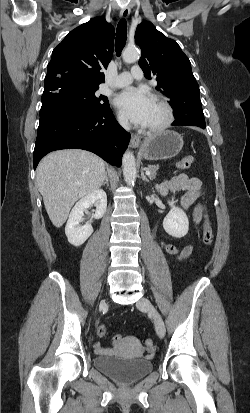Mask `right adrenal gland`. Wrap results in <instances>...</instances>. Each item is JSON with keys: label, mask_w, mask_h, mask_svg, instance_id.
<instances>
[{"label": "right adrenal gland", "mask_w": 250, "mask_h": 413, "mask_svg": "<svg viewBox=\"0 0 250 413\" xmlns=\"http://www.w3.org/2000/svg\"><path fill=\"white\" fill-rule=\"evenodd\" d=\"M103 186H107V187H109V182H108V175H107V173H106V175H105V182L102 184Z\"/></svg>", "instance_id": "2a0ac1e0"}]
</instances>
